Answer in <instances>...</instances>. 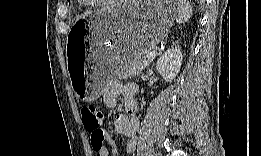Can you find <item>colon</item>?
Here are the masks:
<instances>
[{
  "label": "colon",
  "mask_w": 261,
  "mask_h": 156,
  "mask_svg": "<svg viewBox=\"0 0 261 156\" xmlns=\"http://www.w3.org/2000/svg\"><path fill=\"white\" fill-rule=\"evenodd\" d=\"M82 123L85 130L90 134L93 149H98L104 139V132L101 129L103 112L92 104L82 105L80 108Z\"/></svg>",
  "instance_id": "obj_1"
}]
</instances>
